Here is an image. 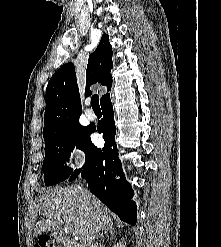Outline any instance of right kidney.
Listing matches in <instances>:
<instances>
[{
    "instance_id": "obj_1",
    "label": "right kidney",
    "mask_w": 221,
    "mask_h": 247,
    "mask_svg": "<svg viewBox=\"0 0 221 247\" xmlns=\"http://www.w3.org/2000/svg\"><path fill=\"white\" fill-rule=\"evenodd\" d=\"M126 242L124 240V238L121 239V241H119V243H117V245H115L114 247H126Z\"/></svg>"
}]
</instances>
